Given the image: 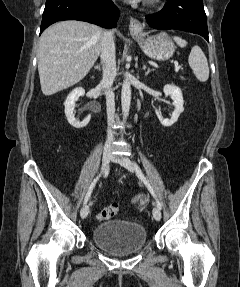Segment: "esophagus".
<instances>
[{"instance_id": "1", "label": "esophagus", "mask_w": 240, "mask_h": 287, "mask_svg": "<svg viewBox=\"0 0 240 287\" xmlns=\"http://www.w3.org/2000/svg\"><path fill=\"white\" fill-rule=\"evenodd\" d=\"M129 30L132 36H138L143 31V24L139 20L131 18L129 24Z\"/></svg>"}]
</instances>
